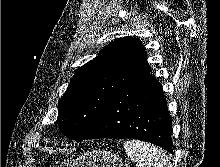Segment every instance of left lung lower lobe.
<instances>
[{
    "mask_svg": "<svg viewBox=\"0 0 220 167\" xmlns=\"http://www.w3.org/2000/svg\"><path fill=\"white\" fill-rule=\"evenodd\" d=\"M172 121L161 85L149 73L122 89L85 139L133 138L172 153Z\"/></svg>",
    "mask_w": 220,
    "mask_h": 167,
    "instance_id": "0a47b994",
    "label": "left lung lower lobe"
}]
</instances>
